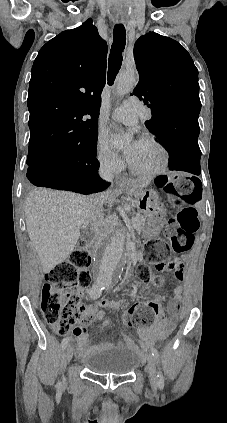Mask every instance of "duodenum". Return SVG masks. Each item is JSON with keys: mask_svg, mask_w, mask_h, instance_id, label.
I'll return each mask as SVG.
<instances>
[{"mask_svg": "<svg viewBox=\"0 0 227 423\" xmlns=\"http://www.w3.org/2000/svg\"><path fill=\"white\" fill-rule=\"evenodd\" d=\"M131 251L133 252V247L132 246H129V252H131Z\"/></svg>", "mask_w": 227, "mask_h": 423, "instance_id": "410a0bca", "label": "duodenum"}]
</instances>
